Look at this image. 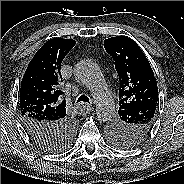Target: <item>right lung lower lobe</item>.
Segmentation results:
<instances>
[{
  "label": "right lung lower lobe",
  "instance_id": "right-lung-lower-lobe-1",
  "mask_svg": "<svg viewBox=\"0 0 184 184\" xmlns=\"http://www.w3.org/2000/svg\"><path fill=\"white\" fill-rule=\"evenodd\" d=\"M22 120L29 136L44 148L61 145L66 134L74 131V123L68 118L59 121H48L27 114L22 116Z\"/></svg>",
  "mask_w": 184,
  "mask_h": 184
}]
</instances>
